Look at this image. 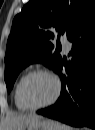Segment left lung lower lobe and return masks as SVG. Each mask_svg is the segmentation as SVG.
Listing matches in <instances>:
<instances>
[{"mask_svg":"<svg viewBox=\"0 0 95 130\" xmlns=\"http://www.w3.org/2000/svg\"><path fill=\"white\" fill-rule=\"evenodd\" d=\"M72 42L67 64L61 59L56 68L62 79L58 101L37 113L75 127H95V12L69 38ZM65 67L67 76L62 75Z\"/></svg>","mask_w":95,"mask_h":130,"instance_id":"0a47b994","label":"left lung lower lobe"}]
</instances>
